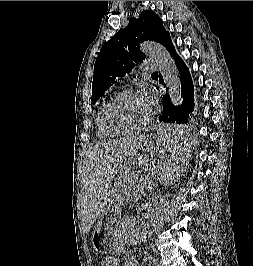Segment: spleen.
<instances>
[{
    "mask_svg": "<svg viewBox=\"0 0 253 266\" xmlns=\"http://www.w3.org/2000/svg\"><path fill=\"white\" fill-rule=\"evenodd\" d=\"M166 132H188V123H166ZM164 150L161 152L160 160H155L150 166L151 174H160L163 186L170 187L173 180L177 179V169L187 168L188 154L193 153L190 138H165Z\"/></svg>",
    "mask_w": 253,
    "mask_h": 266,
    "instance_id": "3e777b00",
    "label": "spleen"
}]
</instances>
